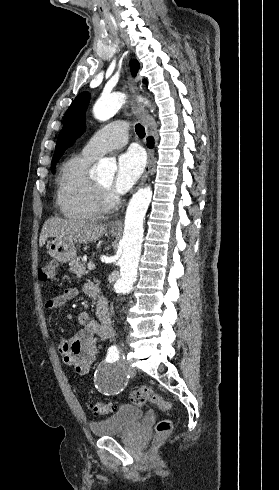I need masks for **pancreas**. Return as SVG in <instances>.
I'll use <instances>...</instances> for the list:
<instances>
[{
  "mask_svg": "<svg viewBox=\"0 0 279 490\" xmlns=\"http://www.w3.org/2000/svg\"><path fill=\"white\" fill-rule=\"evenodd\" d=\"M69 272L74 274V278H81V276H85V274H87L85 264L80 262L79 258L78 260H72V262H69Z\"/></svg>",
  "mask_w": 279,
  "mask_h": 490,
  "instance_id": "pancreas-1",
  "label": "pancreas"
}]
</instances>
